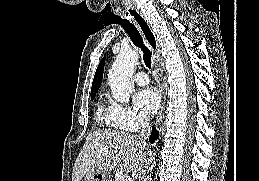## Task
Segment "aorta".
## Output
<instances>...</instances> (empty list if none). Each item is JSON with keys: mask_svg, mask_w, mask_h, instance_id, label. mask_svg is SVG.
<instances>
[{"mask_svg": "<svg viewBox=\"0 0 259 181\" xmlns=\"http://www.w3.org/2000/svg\"><path fill=\"white\" fill-rule=\"evenodd\" d=\"M139 59L138 53L130 48L121 49L108 73L113 98L127 104L134 90L132 76Z\"/></svg>", "mask_w": 259, "mask_h": 181, "instance_id": "obj_1", "label": "aorta"}]
</instances>
